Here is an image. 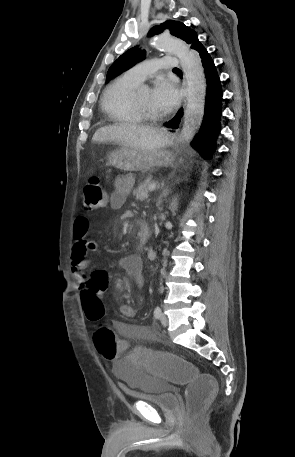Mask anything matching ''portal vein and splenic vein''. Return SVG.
Segmentation results:
<instances>
[{"mask_svg": "<svg viewBox=\"0 0 295 457\" xmlns=\"http://www.w3.org/2000/svg\"><path fill=\"white\" fill-rule=\"evenodd\" d=\"M155 189H156V184L155 183L149 185V187H148L149 191H154Z\"/></svg>", "mask_w": 295, "mask_h": 457, "instance_id": "portal-vein-and-splenic-vein-1", "label": "portal vein and splenic vein"}]
</instances>
